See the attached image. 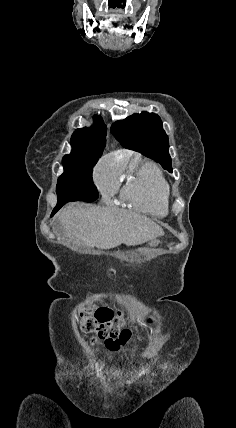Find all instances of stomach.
<instances>
[{"instance_id":"0dacf381","label":"stomach","mask_w":236,"mask_h":428,"mask_svg":"<svg viewBox=\"0 0 236 428\" xmlns=\"http://www.w3.org/2000/svg\"><path fill=\"white\" fill-rule=\"evenodd\" d=\"M156 244H158V242H152V244H150V246H156Z\"/></svg>"}]
</instances>
